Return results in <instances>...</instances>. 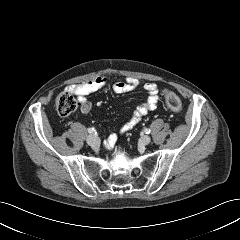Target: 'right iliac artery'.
<instances>
[{
    "label": "right iliac artery",
    "instance_id": "82829eb1",
    "mask_svg": "<svg viewBox=\"0 0 240 240\" xmlns=\"http://www.w3.org/2000/svg\"><path fill=\"white\" fill-rule=\"evenodd\" d=\"M89 133H94L95 132V129L93 127H90L87 129Z\"/></svg>",
    "mask_w": 240,
    "mask_h": 240
}]
</instances>
